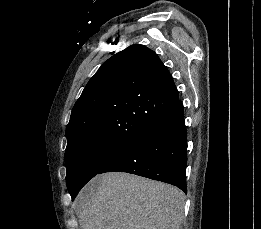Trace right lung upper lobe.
Masks as SVG:
<instances>
[{"label":"right lung upper lobe","mask_w":261,"mask_h":229,"mask_svg":"<svg viewBox=\"0 0 261 229\" xmlns=\"http://www.w3.org/2000/svg\"><path fill=\"white\" fill-rule=\"evenodd\" d=\"M178 102L168 69L134 44L105 61L76 101L67 146L80 141L131 144Z\"/></svg>","instance_id":"cb5924a9"}]
</instances>
